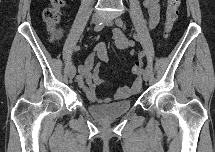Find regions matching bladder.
<instances>
[{
  "instance_id": "bladder-1",
  "label": "bladder",
  "mask_w": 215,
  "mask_h": 152,
  "mask_svg": "<svg viewBox=\"0 0 215 152\" xmlns=\"http://www.w3.org/2000/svg\"><path fill=\"white\" fill-rule=\"evenodd\" d=\"M132 101L113 102L106 105L91 104L88 106L89 113L100 120H108L122 116L130 111Z\"/></svg>"
}]
</instances>
